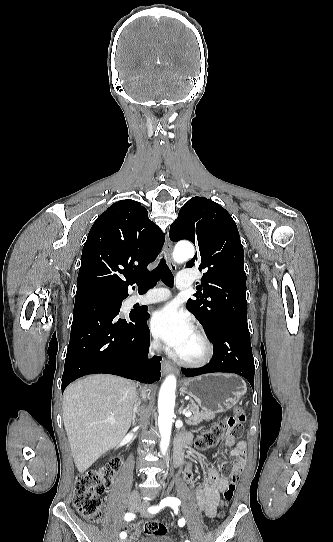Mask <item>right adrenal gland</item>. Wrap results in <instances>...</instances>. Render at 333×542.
Segmentation results:
<instances>
[{"label":"right adrenal gland","instance_id":"1","mask_svg":"<svg viewBox=\"0 0 333 542\" xmlns=\"http://www.w3.org/2000/svg\"><path fill=\"white\" fill-rule=\"evenodd\" d=\"M140 406V402H135L134 404V410L132 412L133 414V418H132V424L133 426H135V422H136V414H138V408Z\"/></svg>","mask_w":333,"mask_h":542}]
</instances>
